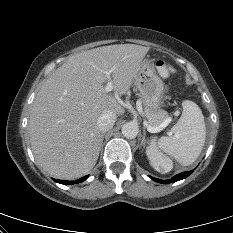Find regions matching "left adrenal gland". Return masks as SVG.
I'll return each instance as SVG.
<instances>
[{"label":"left adrenal gland","mask_w":233,"mask_h":233,"mask_svg":"<svg viewBox=\"0 0 233 233\" xmlns=\"http://www.w3.org/2000/svg\"><path fill=\"white\" fill-rule=\"evenodd\" d=\"M143 134H144V136H143V138H142L141 145L143 146V148H145V144H146V139H145L146 133H145V131H144Z\"/></svg>","instance_id":"obj_1"}]
</instances>
